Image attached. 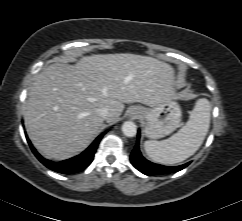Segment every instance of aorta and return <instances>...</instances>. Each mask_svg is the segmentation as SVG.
I'll return each instance as SVG.
<instances>
[{"instance_id": "1", "label": "aorta", "mask_w": 242, "mask_h": 221, "mask_svg": "<svg viewBox=\"0 0 242 221\" xmlns=\"http://www.w3.org/2000/svg\"><path fill=\"white\" fill-rule=\"evenodd\" d=\"M122 132L127 137H134L137 133V126L132 121H126L122 125Z\"/></svg>"}]
</instances>
